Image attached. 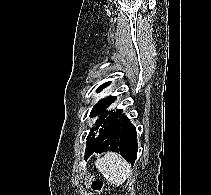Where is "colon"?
<instances>
[{
	"instance_id": "obj_1",
	"label": "colon",
	"mask_w": 211,
	"mask_h": 195,
	"mask_svg": "<svg viewBox=\"0 0 211 195\" xmlns=\"http://www.w3.org/2000/svg\"><path fill=\"white\" fill-rule=\"evenodd\" d=\"M102 188H103V184H102L101 181H95V182L93 183V189H94L95 191L100 192V191L102 190Z\"/></svg>"
}]
</instances>
